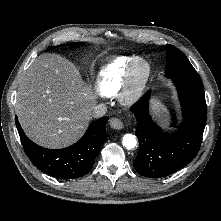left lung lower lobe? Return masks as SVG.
<instances>
[{"label": "left lung lower lobe", "mask_w": 221, "mask_h": 221, "mask_svg": "<svg viewBox=\"0 0 221 221\" xmlns=\"http://www.w3.org/2000/svg\"><path fill=\"white\" fill-rule=\"evenodd\" d=\"M171 78L177 87L184 115V122L175 134H167L152 120L150 91L131 107L137 120L135 134L139 140V152L133 165L142 176L170 175L195 158L200 148L207 113L201 78L196 71Z\"/></svg>", "instance_id": "obj_1"}]
</instances>
